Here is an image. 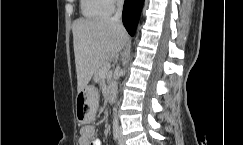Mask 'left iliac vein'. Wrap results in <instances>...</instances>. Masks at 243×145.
<instances>
[{"label": "left iliac vein", "instance_id": "4c4485c4", "mask_svg": "<svg viewBox=\"0 0 243 145\" xmlns=\"http://www.w3.org/2000/svg\"><path fill=\"white\" fill-rule=\"evenodd\" d=\"M119 145H126L125 140L122 135V130L121 128L119 129Z\"/></svg>", "mask_w": 243, "mask_h": 145}]
</instances>
